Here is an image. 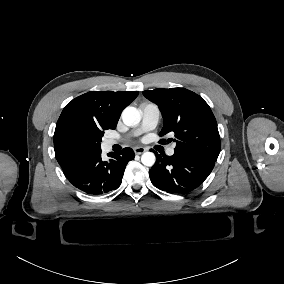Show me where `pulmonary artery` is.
Listing matches in <instances>:
<instances>
[{
    "label": "pulmonary artery",
    "instance_id": "1",
    "mask_svg": "<svg viewBox=\"0 0 284 284\" xmlns=\"http://www.w3.org/2000/svg\"><path fill=\"white\" fill-rule=\"evenodd\" d=\"M141 111V121L138 126H136L130 133L129 136H138L144 132L152 130L158 123L160 117V111L156 104L154 103H143L140 106ZM118 141L114 138H108L104 141L105 145L112 146ZM174 153V148L168 150V154L172 155Z\"/></svg>",
    "mask_w": 284,
    "mask_h": 284
}]
</instances>
